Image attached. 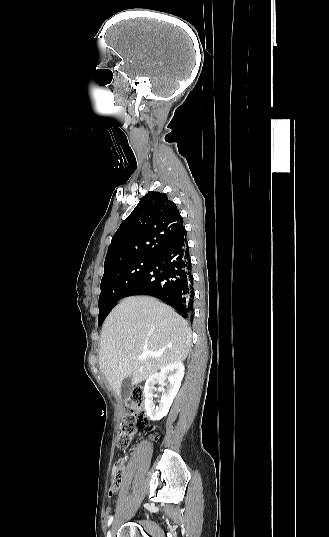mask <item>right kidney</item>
<instances>
[{
	"label": "right kidney",
	"instance_id": "1",
	"mask_svg": "<svg viewBox=\"0 0 329 537\" xmlns=\"http://www.w3.org/2000/svg\"><path fill=\"white\" fill-rule=\"evenodd\" d=\"M184 376V364L182 362L171 363L163 367L159 373L150 375L144 387V403L147 415L153 421H158L167 415L170 406L177 395L181 381ZM168 379L167 384L164 380ZM164 384L165 389H162V396L159 401V406L155 407L153 401L155 385Z\"/></svg>",
	"mask_w": 329,
	"mask_h": 537
}]
</instances>
